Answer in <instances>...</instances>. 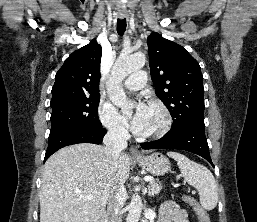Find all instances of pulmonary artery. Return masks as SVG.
Segmentation results:
<instances>
[{"label": "pulmonary artery", "mask_w": 257, "mask_h": 222, "mask_svg": "<svg viewBox=\"0 0 257 222\" xmlns=\"http://www.w3.org/2000/svg\"><path fill=\"white\" fill-rule=\"evenodd\" d=\"M147 82V76L144 71H138L130 75L124 82V85L129 90H138Z\"/></svg>", "instance_id": "pulmonary-artery-1"}]
</instances>
